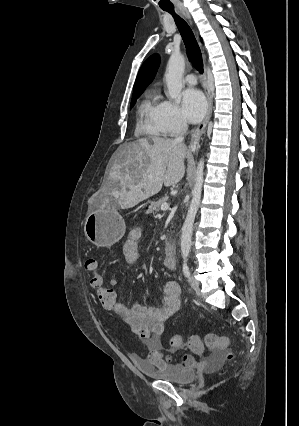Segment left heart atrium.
Returning <instances> with one entry per match:
<instances>
[{
  "mask_svg": "<svg viewBox=\"0 0 299 426\" xmlns=\"http://www.w3.org/2000/svg\"><path fill=\"white\" fill-rule=\"evenodd\" d=\"M206 110V100L199 90L189 88L182 93V111L188 121L199 122L204 117Z\"/></svg>",
  "mask_w": 299,
  "mask_h": 426,
  "instance_id": "39dd6f15",
  "label": "left heart atrium"
}]
</instances>
